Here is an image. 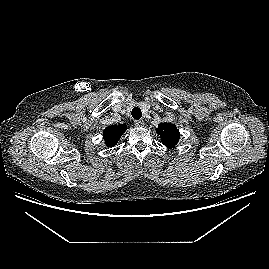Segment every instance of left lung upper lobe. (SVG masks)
I'll return each mask as SVG.
<instances>
[{
	"label": "left lung upper lobe",
	"instance_id": "obj_1",
	"mask_svg": "<svg viewBox=\"0 0 269 269\" xmlns=\"http://www.w3.org/2000/svg\"><path fill=\"white\" fill-rule=\"evenodd\" d=\"M157 134L160 136L162 143L168 148H174L179 141V131L174 124L161 123L156 128Z\"/></svg>",
	"mask_w": 269,
	"mask_h": 269
}]
</instances>
